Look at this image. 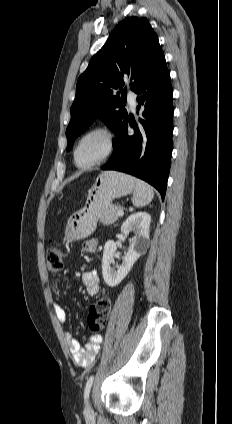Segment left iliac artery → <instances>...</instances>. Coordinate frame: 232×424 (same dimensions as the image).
<instances>
[{
    "instance_id": "left-iliac-artery-1",
    "label": "left iliac artery",
    "mask_w": 232,
    "mask_h": 424,
    "mask_svg": "<svg viewBox=\"0 0 232 424\" xmlns=\"http://www.w3.org/2000/svg\"><path fill=\"white\" fill-rule=\"evenodd\" d=\"M93 380H94V375H91L89 377V379L86 382L85 385V389H84V399L87 400V398L89 397V393L93 384Z\"/></svg>"
}]
</instances>
